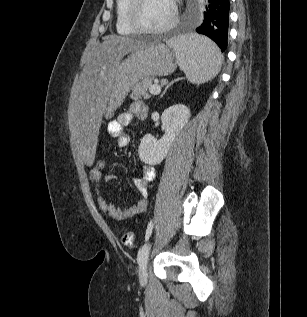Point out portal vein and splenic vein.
<instances>
[{"label": "portal vein and splenic vein", "mask_w": 307, "mask_h": 317, "mask_svg": "<svg viewBox=\"0 0 307 317\" xmlns=\"http://www.w3.org/2000/svg\"><path fill=\"white\" fill-rule=\"evenodd\" d=\"M149 91L153 95H158L161 92V86L158 84H154L149 88Z\"/></svg>", "instance_id": "1"}]
</instances>
